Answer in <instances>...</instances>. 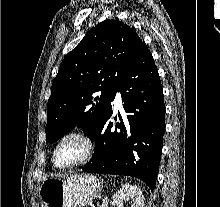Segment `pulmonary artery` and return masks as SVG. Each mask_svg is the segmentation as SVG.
Returning a JSON list of instances; mask_svg holds the SVG:
<instances>
[{"instance_id":"obj_1","label":"pulmonary artery","mask_w":220,"mask_h":207,"mask_svg":"<svg viewBox=\"0 0 220 207\" xmlns=\"http://www.w3.org/2000/svg\"><path fill=\"white\" fill-rule=\"evenodd\" d=\"M114 103H115V107H116L117 109H120V108L122 107V100H121V94H120V92H117V93H116Z\"/></svg>"}]
</instances>
